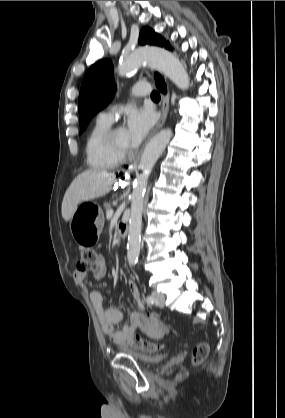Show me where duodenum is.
I'll use <instances>...</instances> for the list:
<instances>
[{"label": "duodenum", "mask_w": 285, "mask_h": 418, "mask_svg": "<svg viewBox=\"0 0 285 418\" xmlns=\"http://www.w3.org/2000/svg\"><path fill=\"white\" fill-rule=\"evenodd\" d=\"M126 232H127V230H126L125 226L120 225V226L118 227V234H119V235H124V234H126Z\"/></svg>", "instance_id": "1"}]
</instances>
